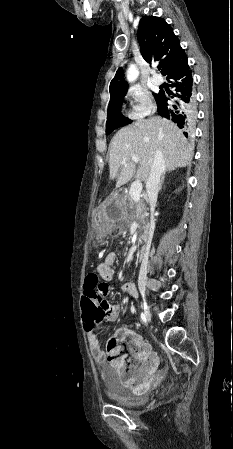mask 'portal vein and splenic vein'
<instances>
[{"label": "portal vein and splenic vein", "instance_id": "1", "mask_svg": "<svg viewBox=\"0 0 233 449\" xmlns=\"http://www.w3.org/2000/svg\"><path fill=\"white\" fill-rule=\"evenodd\" d=\"M132 160L136 163L139 162V156L133 155ZM122 163H125V160H123ZM142 188V183L139 180H136L131 184L129 194L135 202H138L140 200Z\"/></svg>", "mask_w": 233, "mask_h": 449}]
</instances>
